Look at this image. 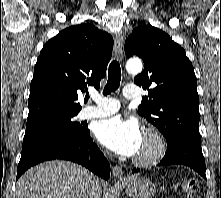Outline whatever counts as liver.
<instances>
[{
  "instance_id": "6515ba94",
  "label": "liver",
  "mask_w": 221,
  "mask_h": 198,
  "mask_svg": "<svg viewBox=\"0 0 221 198\" xmlns=\"http://www.w3.org/2000/svg\"><path fill=\"white\" fill-rule=\"evenodd\" d=\"M90 171L68 161H48L29 169L16 185V198H89ZM102 189L98 192L101 198Z\"/></svg>"
}]
</instances>
